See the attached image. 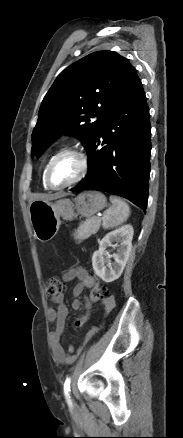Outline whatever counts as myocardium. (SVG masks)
Listing matches in <instances>:
<instances>
[{
	"mask_svg": "<svg viewBox=\"0 0 183 438\" xmlns=\"http://www.w3.org/2000/svg\"><path fill=\"white\" fill-rule=\"evenodd\" d=\"M66 156H75L78 158L79 160V164H80V170L77 174V176L72 179L70 182L63 184V185H53L50 182V172L51 169L53 167V165L55 164L56 161H58L59 159L66 157ZM90 168V163H89V159L88 156L80 150L77 149H66L63 150L59 153H57L47 164V167L45 169V174H44V181L46 183V185L48 186L49 189L52 190H60V189H64L67 187H70L74 184L79 183L81 180H83L85 178V176L87 175L88 171Z\"/></svg>",
	"mask_w": 183,
	"mask_h": 438,
	"instance_id": "myocardium-1",
	"label": "myocardium"
}]
</instances>
